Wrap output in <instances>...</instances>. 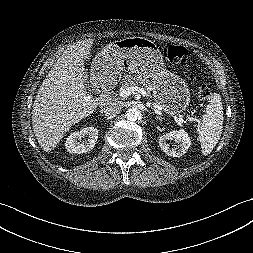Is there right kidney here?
<instances>
[{"instance_id":"1","label":"right kidney","mask_w":253,"mask_h":253,"mask_svg":"<svg viewBox=\"0 0 253 253\" xmlns=\"http://www.w3.org/2000/svg\"><path fill=\"white\" fill-rule=\"evenodd\" d=\"M87 136V140L81 138ZM98 138V130L94 127L83 128L80 132L71 133L65 143L67 151L70 153H84L94 148Z\"/></svg>"}]
</instances>
